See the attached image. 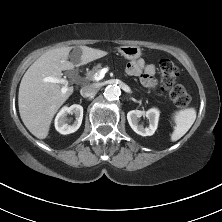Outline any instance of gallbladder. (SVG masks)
I'll return each mask as SVG.
<instances>
[{
	"label": "gallbladder",
	"mask_w": 222,
	"mask_h": 222,
	"mask_svg": "<svg viewBox=\"0 0 222 222\" xmlns=\"http://www.w3.org/2000/svg\"><path fill=\"white\" fill-rule=\"evenodd\" d=\"M73 52H76V53L80 52V48L79 47H75ZM73 62L76 63V61H73Z\"/></svg>",
	"instance_id": "gallbladder-1"
}]
</instances>
